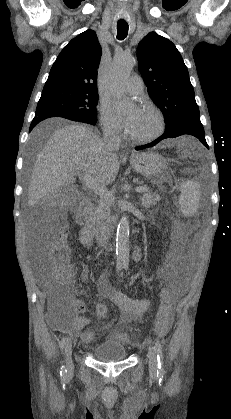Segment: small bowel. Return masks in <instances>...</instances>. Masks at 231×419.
Here are the masks:
<instances>
[{
    "instance_id": "small-bowel-1",
    "label": "small bowel",
    "mask_w": 231,
    "mask_h": 419,
    "mask_svg": "<svg viewBox=\"0 0 231 419\" xmlns=\"http://www.w3.org/2000/svg\"><path fill=\"white\" fill-rule=\"evenodd\" d=\"M92 237L86 232L82 231L80 235L81 243L89 247L91 244ZM179 250L175 249L174 254L169 256L166 254L165 262L160 272L162 279H166L169 276L171 267L173 266L176 258L178 257ZM87 278V267L84 266L82 270V279ZM98 296L100 299L110 300L120 310V321L121 324H128L134 320H138L141 316L151 307L152 302L150 300H135L126 297L122 293L118 292L112 285H110L106 279L101 278L97 281ZM74 310L78 314H83L86 311L85 304L78 299H75ZM104 306L103 303L97 305L98 309ZM89 323L88 319L81 315L73 317L69 324L65 325V328L74 333L76 336L82 338L85 342H90L93 339V333L91 331H84L85 326ZM116 338H123V334L119 331L114 332Z\"/></svg>"
}]
</instances>
